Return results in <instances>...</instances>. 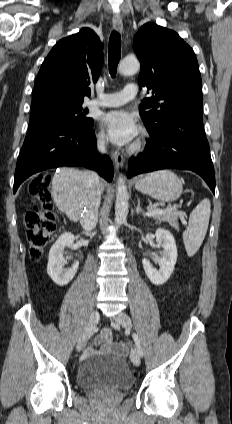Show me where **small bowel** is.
<instances>
[{
	"label": "small bowel",
	"mask_w": 232,
	"mask_h": 424,
	"mask_svg": "<svg viewBox=\"0 0 232 424\" xmlns=\"http://www.w3.org/2000/svg\"><path fill=\"white\" fill-rule=\"evenodd\" d=\"M127 352L123 353L118 348L117 343L112 340V334L110 330L105 329L96 337L94 341V345L91 347H88L85 350L83 357L87 359L97 354H109V353L125 355L127 354Z\"/></svg>",
	"instance_id": "c3829d8e"
}]
</instances>
